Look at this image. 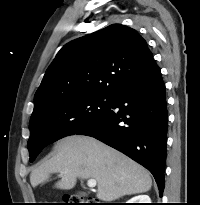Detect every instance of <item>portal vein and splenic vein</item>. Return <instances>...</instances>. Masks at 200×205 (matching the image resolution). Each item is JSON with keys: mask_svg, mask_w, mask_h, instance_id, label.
Wrapping results in <instances>:
<instances>
[{"mask_svg": "<svg viewBox=\"0 0 200 205\" xmlns=\"http://www.w3.org/2000/svg\"><path fill=\"white\" fill-rule=\"evenodd\" d=\"M97 182L95 179H89L87 181V186L90 187V188H94L96 186Z\"/></svg>", "mask_w": 200, "mask_h": 205, "instance_id": "obj_1", "label": "portal vein and splenic vein"}]
</instances>
